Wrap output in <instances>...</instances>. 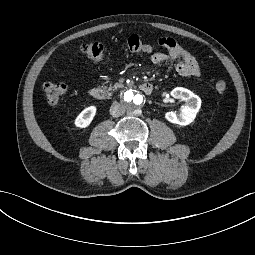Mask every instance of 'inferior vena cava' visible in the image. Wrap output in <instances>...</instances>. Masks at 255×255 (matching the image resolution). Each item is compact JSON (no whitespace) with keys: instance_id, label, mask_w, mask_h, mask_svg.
Listing matches in <instances>:
<instances>
[{"instance_id":"602c4592","label":"inferior vena cava","mask_w":255,"mask_h":255,"mask_svg":"<svg viewBox=\"0 0 255 255\" xmlns=\"http://www.w3.org/2000/svg\"><path fill=\"white\" fill-rule=\"evenodd\" d=\"M109 112L111 116L119 117L125 113V109L119 103H113L109 109Z\"/></svg>"}]
</instances>
